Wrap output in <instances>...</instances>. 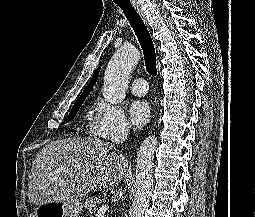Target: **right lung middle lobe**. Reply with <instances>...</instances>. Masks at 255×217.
<instances>
[{
  "mask_svg": "<svg viewBox=\"0 0 255 217\" xmlns=\"http://www.w3.org/2000/svg\"><path fill=\"white\" fill-rule=\"evenodd\" d=\"M89 95V93L84 94L82 96H80L77 101L75 102V104L73 105L70 113H69V121L71 119L74 118V116L77 114L79 108L81 107V105L83 104L84 100L86 99V97Z\"/></svg>",
  "mask_w": 255,
  "mask_h": 217,
  "instance_id": "right-lung-middle-lobe-1",
  "label": "right lung middle lobe"
}]
</instances>
